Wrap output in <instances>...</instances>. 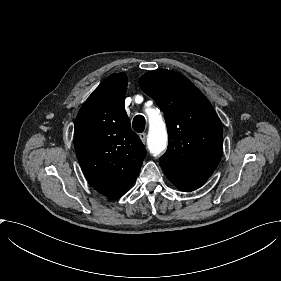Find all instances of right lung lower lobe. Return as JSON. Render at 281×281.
Wrapping results in <instances>:
<instances>
[{"label": "right lung lower lobe", "instance_id": "right-lung-lower-lobe-1", "mask_svg": "<svg viewBox=\"0 0 281 281\" xmlns=\"http://www.w3.org/2000/svg\"><path fill=\"white\" fill-rule=\"evenodd\" d=\"M135 180H136V179H135ZM135 180H134V181H135ZM134 181H133L126 189H124L123 192H122L118 197L122 196V195L130 188V186L134 183ZM118 197H117V198H118Z\"/></svg>", "mask_w": 281, "mask_h": 281}]
</instances>
